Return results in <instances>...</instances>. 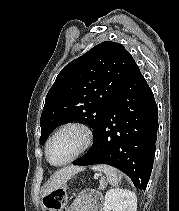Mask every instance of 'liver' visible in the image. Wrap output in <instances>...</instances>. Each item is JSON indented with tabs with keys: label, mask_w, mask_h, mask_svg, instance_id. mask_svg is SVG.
<instances>
[{
	"label": "liver",
	"mask_w": 179,
	"mask_h": 211,
	"mask_svg": "<svg viewBox=\"0 0 179 211\" xmlns=\"http://www.w3.org/2000/svg\"><path fill=\"white\" fill-rule=\"evenodd\" d=\"M82 170V167L69 166L57 171L53 175L51 181L47 184L44 196L64 186L74 174Z\"/></svg>",
	"instance_id": "obj_1"
}]
</instances>
